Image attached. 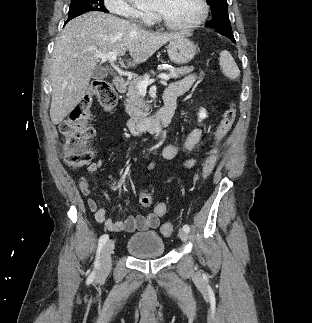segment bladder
<instances>
[{
  "label": "bladder",
  "mask_w": 312,
  "mask_h": 323,
  "mask_svg": "<svg viewBox=\"0 0 312 323\" xmlns=\"http://www.w3.org/2000/svg\"><path fill=\"white\" fill-rule=\"evenodd\" d=\"M126 249L133 257L152 258L163 256L166 247L157 232H143L130 236Z\"/></svg>",
  "instance_id": "obj_1"
}]
</instances>
